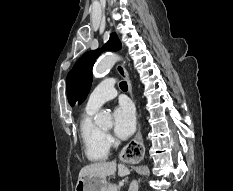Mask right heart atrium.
Instances as JSON below:
<instances>
[{
  "label": "right heart atrium",
  "mask_w": 233,
  "mask_h": 191,
  "mask_svg": "<svg viewBox=\"0 0 233 191\" xmlns=\"http://www.w3.org/2000/svg\"><path fill=\"white\" fill-rule=\"evenodd\" d=\"M105 140L109 147L114 144V139L110 134H105Z\"/></svg>",
  "instance_id": "obj_1"
}]
</instances>
